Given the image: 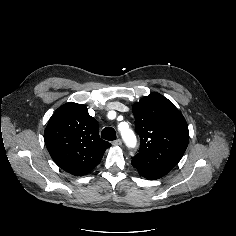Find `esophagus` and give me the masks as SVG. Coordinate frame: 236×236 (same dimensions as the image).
<instances>
[{
	"instance_id": "34e87169",
	"label": "esophagus",
	"mask_w": 236,
	"mask_h": 236,
	"mask_svg": "<svg viewBox=\"0 0 236 236\" xmlns=\"http://www.w3.org/2000/svg\"><path fill=\"white\" fill-rule=\"evenodd\" d=\"M112 145H114V146H121L122 145V140L121 139H117V140L112 142Z\"/></svg>"
}]
</instances>
